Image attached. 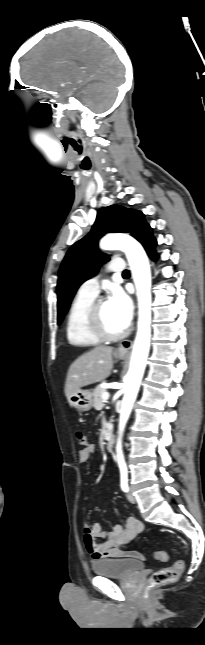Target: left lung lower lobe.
I'll use <instances>...</instances> for the list:
<instances>
[{"mask_svg":"<svg viewBox=\"0 0 205 645\" xmlns=\"http://www.w3.org/2000/svg\"><path fill=\"white\" fill-rule=\"evenodd\" d=\"M140 243L145 248L149 257L155 261L158 258V255L155 253V250H154L155 246L157 245V241L152 235L151 228L146 232V234L144 235Z\"/></svg>","mask_w":205,"mask_h":645,"instance_id":"1","label":"left lung lower lobe"}]
</instances>
